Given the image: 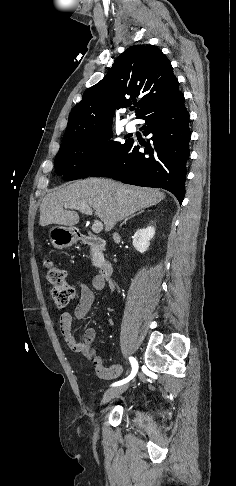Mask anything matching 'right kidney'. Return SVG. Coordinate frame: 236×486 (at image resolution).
Returning <instances> with one entry per match:
<instances>
[{
  "label": "right kidney",
  "instance_id": "ca27d5eb",
  "mask_svg": "<svg viewBox=\"0 0 236 486\" xmlns=\"http://www.w3.org/2000/svg\"><path fill=\"white\" fill-rule=\"evenodd\" d=\"M154 234L155 229L152 226L137 230L133 236V246L135 249L140 253H144L148 250L150 240L153 238Z\"/></svg>",
  "mask_w": 236,
  "mask_h": 486
}]
</instances>
